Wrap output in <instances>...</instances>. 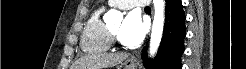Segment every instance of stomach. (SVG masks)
Instances as JSON below:
<instances>
[{
	"label": "stomach",
	"mask_w": 246,
	"mask_h": 69,
	"mask_svg": "<svg viewBox=\"0 0 246 69\" xmlns=\"http://www.w3.org/2000/svg\"><path fill=\"white\" fill-rule=\"evenodd\" d=\"M138 65L130 60L125 62V69H138Z\"/></svg>",
	"instance_id": "obj_1"
}]
</instances>
